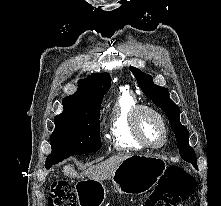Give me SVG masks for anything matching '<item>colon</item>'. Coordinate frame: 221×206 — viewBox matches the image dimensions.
<instances>
[{
	"mask_svg": "<svg viewBox=\"0 0 221 206\" xmlns=\"http://www.w3.org/2000/svg\"><path fill=\"white\" fill-rule=\"evenodd\" d=\"M165 178L142 206H175L195 191L193 176L180 167H169ZM48 206H77L75 192L68 181L58 180L51 185Z\"/></svg>",
	"mask_w": 221,
	"mask_h": 206,
	"instance_id": "colon-1",
	"label": "colon"
}]
</instances>
